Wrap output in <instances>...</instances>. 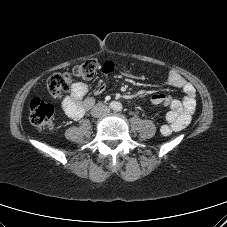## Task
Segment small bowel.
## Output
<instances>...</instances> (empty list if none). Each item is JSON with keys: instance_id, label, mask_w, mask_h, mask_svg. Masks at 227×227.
<instances>
[{"instance_id": "1", "label": "small bowel", "mask_w": 227, "mask_h": 227, "mask_svg": "<svg viewBox=\"0 0 227 227\" xmlns=\"http://www.w3.org/2000/svg\"><path fill=\"white\" fill-rule=\"evenodd\" d=\"M115 68V64L109 62L103 66L102 70L104 73H110ZM168 83L172 87L181 89L185 97L182 100H178L161 93L154 94L151 97L152 104L169 108L166 114L167 124L161 127V133L166 136L172 132L182 131L189 125L197 104L194 86L178 72H169ZM103 90L104 85L101 84L97 88L96 94H101ZM87 92L88 87L82 82H76L72 85L70 94L65 96L62 101V108L68 117L79 120L94 105V98L86 97Z\"/></svg>"}]
</instances>
